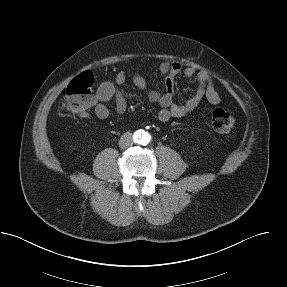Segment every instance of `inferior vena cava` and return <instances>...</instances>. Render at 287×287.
Listing matches in <instances>:
<instances>
[{
	"instance_id": "602c4592",
	"label": "inferior vena cava",
	"mask_w": 287,
	"mask_h": 287,
	"mask_svg": "<svg viewBox=\"0 0 287 287\" xmlns=\"http://www.w3.org/2000/svg\"><path fill=\"white\" fill-rule=\"evenodd\" d=\"M132 144H133L132 134L129 132L124 133L119 140V147L128 148L132 146Z\"/></svg>"
}]
</instances>
